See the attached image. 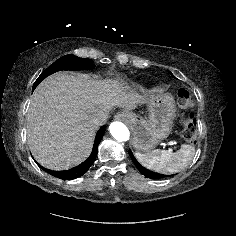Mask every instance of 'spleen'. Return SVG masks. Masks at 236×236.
Instances as JSON below:
<instances>
[{
    "mask_svg": "<svg viewBox=\"0 0 236 236\" xmlns=\"http://www.w3.org/2000/svg\"><path fill=\"white\" fill-rule=\"evenodd\" d=\"M194 154L195 148L187 144H182L176 152L157 149L145 154L135 153L136 158L144 167L162 174H171L184 169Z\"/></svg>",
    "mask_w": 236,
    "mask_h": 236,
    "instance_id": "1",
    "label": "spleen"
}]
</instances>
